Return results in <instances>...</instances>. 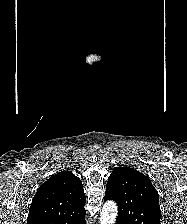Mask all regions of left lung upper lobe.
Returning <instances> with one entry per match:
<instances>
[{"label":"left lung upper lobe","mask_w":187,"mask_h":224,"mask_svg":"<svg viewBox=\"0 0 187 224\" xmlns=\"http://www.w3.org/2000/svg\"><path fill=\"white\" fill-rule=\"evenodd\" d=\"M114 200L121 224H160L159 196L150 179L130 167H117L111 173L104 201Z\"/></svg>","instance_id":"1"}]
</instances>
